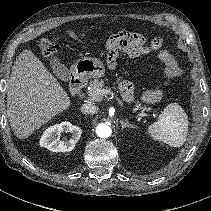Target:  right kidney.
<instances>
[{
  "label": "right kidney",
  "instance_id": "1",
  "mask_svg": "<svg viewBox=\"0 0 211 211\" xmlns=\"http://www.w3.org/2000/svg\"><path fill=\"white\" fill-rule=\"evenodd\" d=\"M62 132H71L69 140H60ZM82 134L81 128L69 122H62L46 129L40 139V145L52 152H68L74 149Z\"/></svg>",
  "mask_w": 211,
  "mask_h": 211
}]
</instances>
